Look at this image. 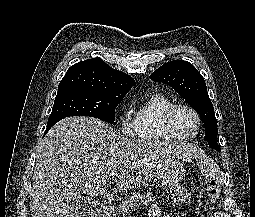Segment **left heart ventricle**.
<instances>
[{
    "label": "left heart ventricle",
    "mask_w": 255,
    "mask_h": 217,
    "mask_svg": "<svg viewBox=\"0 0 255 217\" xmlns=\"http://www.w3.org/2000/svg\"><path fill=\"white\" fill-rule=\"evenodd\" d=\"M176 125L185 134H193L197 128L195 116L187 110H180L176 115Z\"/></svg>",
    "instance_id": "left-heart-ventricle-1"
}]
</instances>
